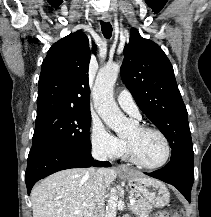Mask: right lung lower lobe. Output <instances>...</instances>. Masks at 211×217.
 I'll use <instances>...</instances> for the list:
<instances>
[{
	"label": "right lung lower lobe",
	"instance_id": "98d812e1",
	"mask_svg": "<svg viewBox=\"0 0 211 217\" xmlns=\"http://www.w3.org/2000/svg\"><path fill=\"white\" fill-rule=\"evenodd\" d=\"M110 167L109 162L95 161L90 152H79L58 145L32 146L29 156L25 182L28 194L40 179L57 171L83 167Z\"/></svg>",
	"mask_w": 211,
	"mask_h": 217
}]
</instances>
